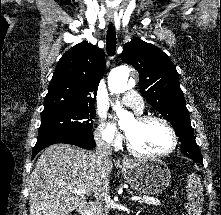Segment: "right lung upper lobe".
<instances>
[{
  "label": "right lung upper lobe",
  "mask_w": 221,
  "mask_h": 215,
  "mask_svg": "<svg viewBox=\"0 0 221 215\" xmlns=\"http://www.w3.org/2000/svg\"><path fill=\"white\" fill-rule=\"evenodd\" d=\"M105 66L104 51L90 43H79L69 49L57 63L42 114L94 107Z\"/></svg>",
  "instance_id": "1"
}]
</instances>
